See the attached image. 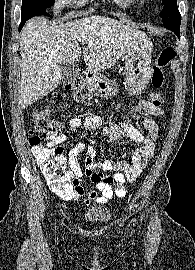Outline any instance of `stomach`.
Here are the masks:
<instances>
[{
    "mask_svg": "<svg viewBox=\"0 0 195 270\" xmlns=\"http://www.w3.org/2000/svg\"><path fill=\"white\" fill-rule=\"evenodd\" d=\"M153 43L147 36L135 40L134 47L125 56V86L132 95L141 94L151 78V53ZM91 89L102 98H111L118 93V84L99 73L89 77Z\"/></svg>",
    "mask_w": 195,
    "mask_h": 270,
    "instance_id": "1",
    "label": "stomach"
}]
</instances>
